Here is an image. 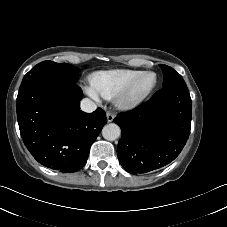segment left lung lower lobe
<instances>
[{
	"label": "left lung lower lobe",
	"mask_w": 227,
	"mask_h": 227,
	"mask_svg": "<svg viewBox=\"0 0 227 227\" xmlns=\"http://www.w3.org/2000/svg\"><path fill=\"white\" fill-rule=\"evenodd\" d=\"M191 97L186 85L166 86L135 109L119 113V162L131 174L147 173L172 162L191 128Z\"/></svg>",
	"instance_id": "1"
}]
</instances>
